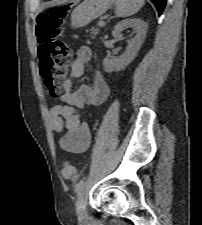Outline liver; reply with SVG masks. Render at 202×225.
<instances>
[{"instance_id": "6515ba94", "label": "liver", "mask_w": 202, "mask_h": 225, "mask_svg": "<svg viewBox=\"0 0 202 225\" xmlns=\"http://www.w3.org/2000/svg\"><path fill=\"white\" fill-rule=\"evenodd\" d=\"M68 0H61V3H65V2H67Z\"/></svg>"}]
</instances>
